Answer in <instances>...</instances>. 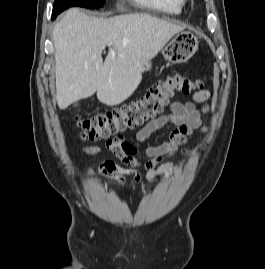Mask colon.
I'll return each instance as SVG.
<instances>
[{
	"mask_svg": "<svg viewBox=\"0 0 265 269\" xmlns=\"http://www.w3.org/2000/svg\"><path fill=\"white\" fill-rule=\"evenodd\" d=\"M203 86L181 73H173L150 87L138 101L111 112L77 120L81 138L89 141L107 140L127 129L141 126L167 107L177 94H190Z\"/></svg>",
	"mask_w": 265,
	"mask_h": 269,
	"instance_id": "colon-1",
	"label": "colon"
}]
</instances>
